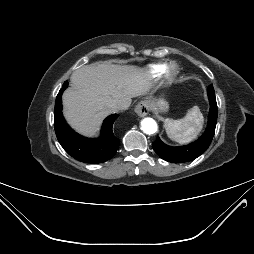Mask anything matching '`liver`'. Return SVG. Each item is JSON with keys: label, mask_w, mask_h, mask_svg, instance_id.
Masks as SVG:
<instances>
[{"label": "liver", "mask_w": 254, "mask_h": 254, "mask_svg": "<svg viewBox=\"0 0 254 254\" xmlns=\"http://www.w3.org/2000/svg\"><path fill=\"white\" fill-rule=\"evenodd\" d=\"M155 89L142 68L110 63L85 65L72 73L71 87L63 94L64 115L75 130L91 136L106 116L116 112L113 104H131L133 97Z\"/></svg>", "instance_id": "1"}]
</instances>
